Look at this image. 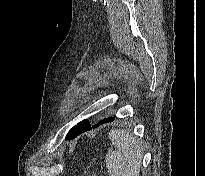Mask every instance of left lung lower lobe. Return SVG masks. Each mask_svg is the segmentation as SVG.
Returning a JSON list of instances; mask_svg holds the SVG:
<instances>
[{
  "label": "left lung lower lobe",
  "mask_w": 205,
  "mask_h": 176,
  "mask_svg": "<svg viewBox=\"0 0 205 176\" xmlns=\"http://www.w3.org/2000/svg\"><path fill=\"white\" fill-rule=\"evenodd\" d=\"M114 120L113 117L105 118L101 120L99 123L91 126L88 120H83L82 122H79L77 125H75L73 128L70 129L68 132L66 139H72L80 135L81 133L91 130L92 128H96L106 122H110Z\"/></svg>",
  "instance_id": "left-lung-lower-lobe-1"
}]
</instances>
